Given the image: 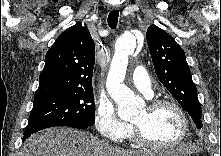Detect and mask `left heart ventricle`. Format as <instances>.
<instances>
[{"label": "left heart ventricle", "mask_w": 221, "mask_h": 156, "mask_svg": "<svg viewBox=\"0 0 221 156\" xmlns=\"http://www.w3.org/2000/svg\"><path fill=\"white\" fill-rule=\"evenodd\" d=\"M144 135L157 144H171L182 132V121L171 107H162L156 111L144 108L133 120Z\"/></svg>", "instance_id": "obj_1"}]
</instances>
